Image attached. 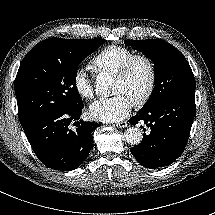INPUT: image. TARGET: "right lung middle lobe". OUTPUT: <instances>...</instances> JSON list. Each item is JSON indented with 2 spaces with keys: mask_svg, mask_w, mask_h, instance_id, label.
Instances as JSON below:
<instances>
[{
  "mask_svg": "<svg viewBox=\"0 0 215 215\" xmlns=\"http://www.w3.org/2000/svg\"><path fill=\"white\" fill-rule=\"evenodd\" d=\"M104 42L50 38L35 45L21 62L15 79L20 122L44 109L81 106L75 86L78 65Z\"/></svg>",
  "mask_w": 215,
  "mask_h": 215,
  "instance_id": "1",
  "label": "right lung middle lobe"
}]
</instances>
